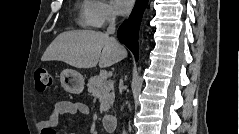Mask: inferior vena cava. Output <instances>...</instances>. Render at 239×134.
<instances>
[{
    "instance_id": "obj_1",
    "label": "inferior vena cava",
    "mask_w": 239,
    "mask_h": 134,
    "mask_svg": "<svg viewBox=\"0 0 239 134\" xmlns=\"http://www.w3.org/2000/svg\"><path fill=\"white\" fill-rule=\"evenodd\" d=\"M115 26H116V25H115V16L112 15V16H111V21H110L109 26H108L107 31H106V34H107V35H109V34H114V33H115V29H116ZM112 39L116 42L115 38H112ZM125 133H126V132L123 131V134H125Z\"/></svg>"
}]
</instances>
